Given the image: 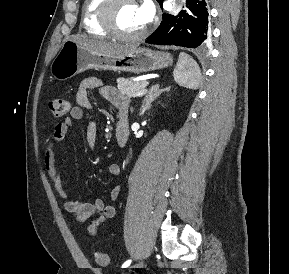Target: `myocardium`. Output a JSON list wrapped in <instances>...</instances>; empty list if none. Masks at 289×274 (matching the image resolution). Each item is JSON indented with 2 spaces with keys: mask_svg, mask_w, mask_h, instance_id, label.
Here are the masks:
<instances>
[{
  "mask_svg": "<svg viewBox=\"0 0 289 274\" xmlns=\"http://www.w3.org/2000/svg\"><path fill=\"white\" fill-rule=\"evenodd\" d=\"M123 3L137 4L136 0H104L100 7L99 22L102 28L112 37L124 41H135L143 38L148 32V26L145 25L137 33L127 34L118 30L115 24V14L118 7Z\"/></svg>",
  "mask_w": 289,
  "mask_h": 274,
  "instance_id": "f54148a6",
  "label": "myocardium"
}]
</instances>
